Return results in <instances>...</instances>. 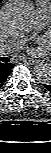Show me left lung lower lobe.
<instances>
[{
	"label": "left lung lower lobe",
	"mask_w": 51,
	"mask_h": 153,
	"mask_svg": "<svg viewBox=\"0 0 51 153\" xmlns=\"http://www.w3.org/2000/svg\"><path fill=\"white\" fill-rule=\"evenodd\" d=\"M44 86L51 92V83L44 84Z\"/></svg>",
	"instance_id": "left-lung-lower-lobe-1"
}]
</instances>
